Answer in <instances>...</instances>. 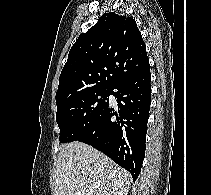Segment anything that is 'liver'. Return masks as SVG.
Segmentation results:
<instances>
[{"instance_id": "liver-1", "label": "liver", "mask_w": 211, "mask_h": 195, "mask_svg": "<svg viewBox=\"0 0 211 195\" xmlns=\"http://www.w3.org/2000/svg\"><path fill=\"white\" fill-rule=\"evenodd\" d=\"M54 195H127L129 172L82 142L64 144L54 170Z\"/></svg>"}]
</instances>
